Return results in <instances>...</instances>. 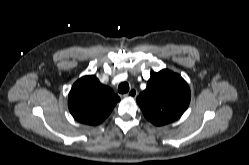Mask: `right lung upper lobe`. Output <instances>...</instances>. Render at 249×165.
<instances>
[{
    "mask_svg": "<svg viewBox=\"0 0 249 165\" xmlns=\"http://www.w3.org/2000/svg\"><path fill=\"white\" fill-rule=\"evenodd\" d=\"M120 98L96 76H84L74 83L68 97L72 116L81 123L98 125L111 113Z\"/></svg>",
    "mask_w": 249,
    "mask_h": 165,
    "instance_id": "1",
    "label": "right lung upper lobe"
}]
</instances>
